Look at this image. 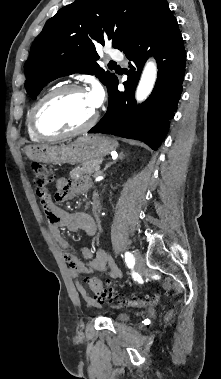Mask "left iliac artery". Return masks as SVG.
Masks as SVG:
<instances>
[{
  "mask_svg": "<svg viewBox=\"0 0 221 379\" xmlns=\"http://www.w3.org/2000/svg\"><path fill=\"white\" fill-rule=\"evenodd\" d=\"M125 262L127 264V266L131 267L134 265L135 263V258L133 256V254L131 252H126L125 253Z\"/></svg>",
  "mask_w": 221,
  "mask_h": 379,
  "instance_id": "obj_1",
  "label": "left iliac artery"
}]
</instances>
